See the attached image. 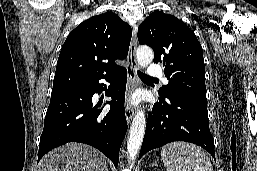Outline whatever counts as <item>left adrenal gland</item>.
<instances>
[{"label":"left adrenal gland","mask_w":257,"mask_h":171,"mask_svg":"<svg viewBox=\"0 0 257 171\" xmlns=\"http://www.w3.org/2000/svg\"><path fill=\"white\" fill-rule=\"evenodd\" d=\"M152 166H156V164H155V163H153V164H152Z\"/></svg>","instance_id":"a2214340"}]
</instances>
